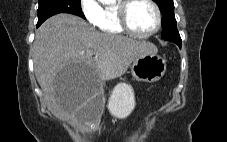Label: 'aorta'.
<instances>
[{"mask_svg":"<svg viewBox=\"0 0 227 142\" xmlns=\"http://www.w3.org/2000/svg\"><path fill=\"white\" fill-rule=\"evenodd\" d=\"M103 1L107 4H111V3H114L116 0H103Z\"/></svg>","mask_w":227,"mask_h":142,"instance_id":"1","label":"aorta"}]
</instances>
